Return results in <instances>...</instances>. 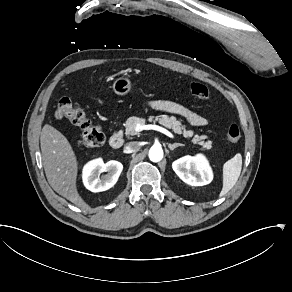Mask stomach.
Here are the masks:
<instances>
[{
	"label": "stomach",
	"mask_w": 292,
	"mask_h": 292,
	"mask_svg": "<svg viewBox=\"0 0 292 292\" xmlns=\"http://www.w3.org/2000/svg\"><path fill=\"white\" fill-rule=\"evenodd\" d=\"M132 90V81L127 76H119L112 82V91L118 96H125ZM117 109L113 108L111 114L117 115Z\"/></svg>",
	"instance_id": "stomach-1"
}]
</instances>
